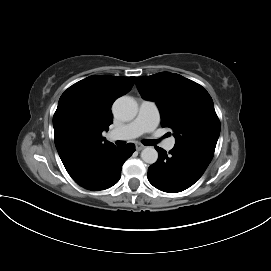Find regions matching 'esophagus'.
<instances>
[{"label":"esophagus","instance_id":"esophagus-1","mask_svg":"<svg viewBox=\"0 0 271 271\" xmlns=\"http://www.w3.org/2000/svg\"><path fill=\"white\" fill-rule=\"evenodd\" d=\"M144 148H145L144 145H142V144H140V143H137V144H136V150L140 151V150H142V149H144Z\"/></svg>","mask_w":271,"mask_h":271}]
</instances>
